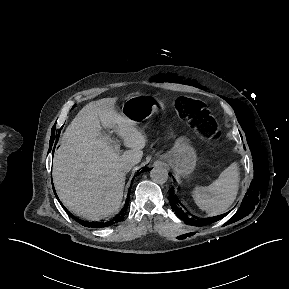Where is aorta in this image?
I'll return each mask as SVG.
<instances>
[{"mask_svg": "<svg viewBox=\"0 0 289 289\" xmlns=\"http://www.w3.org/2000/svg\"><path fill=\"white\" fill-rule=\"evenodd\" d=\"M150 177L157 184H164L168 180V171L164 167H155L150 171Z\"/></svg>", "mask_w": 289, "mask_h": 289, "instance_id": "obj_1", "label": "aorta"}]
</instances>
